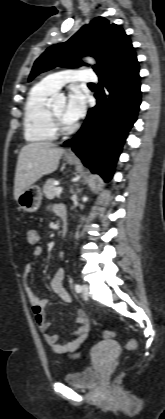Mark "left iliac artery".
I'll return each instance as SVG.
<instances>
[{"mask_svg": "<svg viewBox=\"0 0 165 419\" xmlns=\"http://www.w3.org/2000/svg\"><path fill=\"white\" fill-rule=\"evenodd\" d=\"M75 291L77 292V293H80L81 292V286L79 285V284H75Z\"/></svg>", "mask_w": 165, "mask_h": 419, "instance_id": "44dca946", "label": "left iliac artery"}]
</instances>
